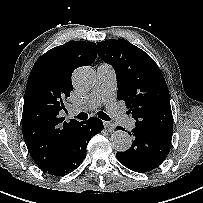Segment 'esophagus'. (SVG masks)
Segmentation results:
<instances>
[{
  "label": "esophagus",
  "mask_w": 203,
  "mask_h": 203,
  "mask_svg": "<svg viewBox=\"0 0 203 203\" xmlns=\"http://www.w3.org/2000/svg\"><path fill=\"white\" fill-rule=\"evenodd\" d=\"M103 125L105 128H107L110 132L114 131L115 129V125L111 122H108V121H104L103 122Z\"/></svg>",
  "instance_id": "obj_1"
}]
</instances>
